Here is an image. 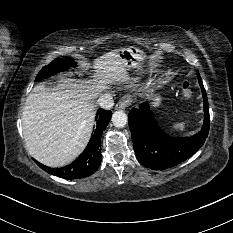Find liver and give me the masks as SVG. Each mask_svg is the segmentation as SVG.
<instances>
[{
	"mask_svg": "<svg viewBox=\"0 0 233 233\" xmlns=\"http://www.w3.org/2000/svg\"><path fill=\"white\" fill-rule=\"evenodd\" d=\"M95 81L85 84L60 80L53 88L36 85L28 95L22 113L25 146L37 161L61 167L84 150L92 134L93 100L111 85L123 82L127 64L117 50L105 53L92 63Z\"/></svg>",
	"mask_w": 233,
	"mask_h": 233,
	"instance_id": "liver-1",
	"label": "liver"
}]
</instances>
